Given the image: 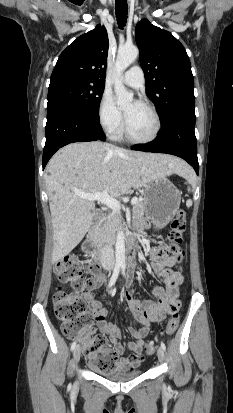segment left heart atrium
I'll return each mask as SVG.
<instances>
[{"mask_svg":"<svg viewBox=\"0 0 233 413\" xmlns=\"http://www.w3.org/2000/svg\"><path fill=\"white\" fill-rule=\"evenodd\" d=\"M139 105H141V103H140L139 101H135V102L133 103V107H134V108L138 107Z\"/></svg>","mask_w":233,"mask_h":413,"instance_id":"left-heart-atrium-1","label":"left heart atrium"}]
</instances>
